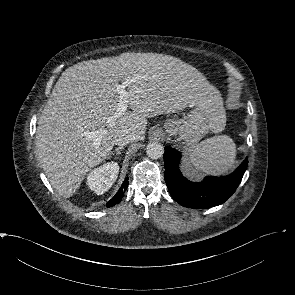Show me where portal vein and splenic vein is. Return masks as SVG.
<instances>
[{"instance_id":"18ae733b","label":"portal vein and splenic vein","mask_w":295,"mask_h":295,"mask_svg":"<svg viewBox=\"0 0 295 295\" xmlns=\"http://www.w3.org/2000/svg\"><path fill=\"white\" fill-rule=\"evenodd\" d=\"M127 85H128L127 82H125V83H122V84H119V85L116 86V90L120 94L119 103H118V106H117L115 116L108 119V121H107V123H109V125L114 120L120 118L127 110L128 96H127V93L125 91V87ZM105 133H106L105 129H99V130H95V131L84 132V136H86V137H88L90 139H93L95 141V143L98 144Z\"/></svg>"}]
</instances>
